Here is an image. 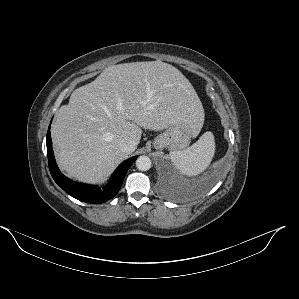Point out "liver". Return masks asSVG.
<instances>
[{
    "label": "liver",
    "instance_id": "1",
    "mask_svg": "<svg viewBox=\"0 0 299 299\" xmlns=\"http://www.w3.org/2000/svg\"><path fill=\"white\" fill-rule=\"evenodd\" d=\"M179 122L197 136L204 110L177 68L161 61L109 66L58 110L51 128L57 163L80 182H102L128 157L122 139L138 144L142 128L160 131Z\"/></svg>",
    "mask_w": 299,
    "mask_h": 299
}]
</instances>
